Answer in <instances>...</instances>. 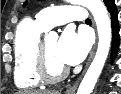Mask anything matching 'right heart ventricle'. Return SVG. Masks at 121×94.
<instances>
[{"label": "right heart ventricle", "instance_id": "e07e8e85", "mask_svg": "<svg viewBox=\"0 0 121 94\" xmlns=\"http://www.w3.org/2000/svg\"><path fill=\"white\" fill-rule=\"evenodd\" d=\"M37 20L20 23L14 40V81L18 88L33 89L41 85L35 69L36 50L41 34L46 31Z\"/></svg>", "mask_w": 121, "mask_h": 94}]
</instances>
